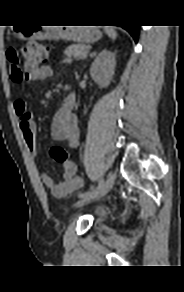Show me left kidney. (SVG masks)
Returning a JSON list of instances; mask_svg holds the SVG:
<instances>
[{"instance_id":"5707ae66","label":"left kidney","mask_w":184,"mask_h":292,"mask_svg":"<svg viewBox=\"0 0 184 292\" xmlns=\"http://www.w3.org/2000/svg\"><path fill=\"white\" fill-rule=\"evenodd\" d=\"M115 67V54L111 51L103 50L92 63L90 75L100 87L105 88L113 79Z\"/></svg>"}]
</instances>
